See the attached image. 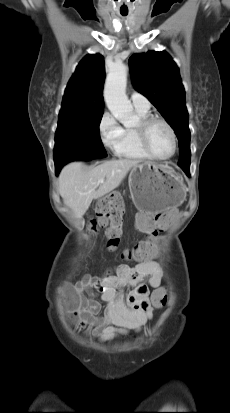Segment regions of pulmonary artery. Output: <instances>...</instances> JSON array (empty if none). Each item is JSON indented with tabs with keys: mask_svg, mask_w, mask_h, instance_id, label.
<instances>
[{
	"mask_svg": "<svg viewBox=\"0 0 230 413\" xmlns=\"http://www.w3.org/2000/svg\"><path fill=\"white\" fill-rule=\"evenodd\" d=\"M131 102L133 104V106L135 107V109H140V110H144V111H148L150 108V103L148 101V99L138 93V92H132L131 96H130Z\"/></svg>",
	"mask_w": 230,
	"mask_h": 413,
	"instance_id": "e3ab8cb5",
	"label": "pulmonary artery"
}]
</instances>
